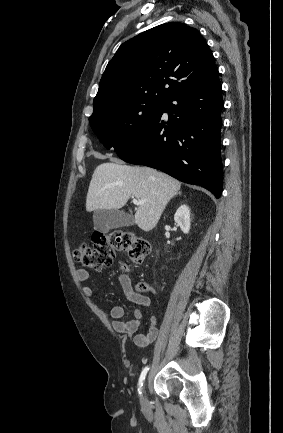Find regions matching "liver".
<instances>
[{"mask_svg": "<svg viewBox=\"0 0 283 433\" xmlns=\"http://www.w3.org/2000/svg\"><path fill=\"white\" fill-rule=\"evenodd\" d=\"M181 182L148 166H128L121 162H103L96 166L90 180L86 210L122 208L130 196L145 200L135 212V223L148 233L156 227L170 198ZM132 212V210H130Z\"/></svg>", "mask_w": 283, "mask_h": 433, "instance_id": "6515ba94", "label": "liver"}]
</instances>
